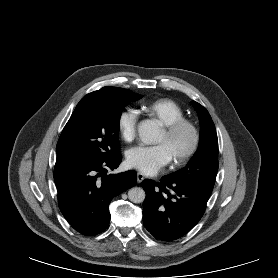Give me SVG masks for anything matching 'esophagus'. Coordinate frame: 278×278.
<instances>
[{"instance_id": "obj_1", "label": "esophagus", "mask_w": 278, "mask_h": 278, "mask_svg": "<svg viewBox=\"0 0 278 278\" xmlns=\"http://www.w3.org/2000/svg\"><path fill=\"white\" fill-rule=\"evenodd\" d=\"M144 180V175L142 173L137 174V183H141Z\"/></svg>"}]
</instances>
